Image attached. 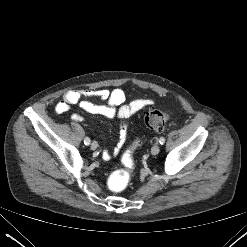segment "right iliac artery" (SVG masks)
Masks as SVG:
<instances>
[{"label": "right iliac artery", "instance_id": "right-iliac-artery-1", "mask_svg": "<svg viewBox=\"0 0 247 247\" xmlns=\"http://www.w3.org/2000/svg\"><path fill=\"white\" fill-rule=\"evenodd\" d=\"M90 142H91V141H90V139H89L88 137H86V138L84 139V144H85V145H87V146L90 145Z\"/></svg>", "mask_w": 247, "mask_h": 247}]
</instances>
